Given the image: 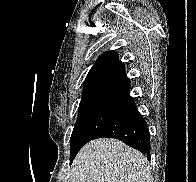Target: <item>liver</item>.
<instances>
[{
  "label": "liver",
  "instance_id": "1",
  "mask_svg": "<svg viewBox=\"0 0 196 182\" xmlns=\"http://www.w3.org/2000/svg\"><path fill=\"white\" fill-rule=\"evenodd\" d=\"M69 182H151L146 158L117 139L87 143L72 164Z\"/></svg>",
  "mask_w": 196,
  "mask_h": 182
}]
</instances>
